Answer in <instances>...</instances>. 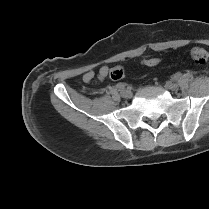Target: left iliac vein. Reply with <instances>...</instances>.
<instances>
[{
  "instance_id": "4c4485c4",
  "label": "left iliac vein",
  "mask_w": 209,
  "mask_h": 209,
  "mask_svg": "<svg viewBox=\"0 0 209 209\" xmlns=\"http://www.w3.org/2000/svg\"><path fill=\"white\" fill-rule=\"evenodd\" d=\"M166 89L170 90V91H176L178 89V85L172 81H168L165 84Z\"/></svg>"
}]
</instances>
